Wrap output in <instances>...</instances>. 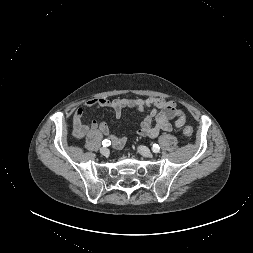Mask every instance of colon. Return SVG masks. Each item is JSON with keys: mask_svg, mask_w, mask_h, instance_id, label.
<instances>
[{"mask_svg": "<svg viewBox=\"0 0 253 253\" xmlns=\"http://www.w3.org/2000/svg\"><path fill=\"white\" fill-rule=\"evenodd\" d=\"M183 134L186 136V137H192L193 136V128L189 125L185 126L184 129H183Z\"/></svg>", "mask_w": 253, "mask_h": 253, "instance_id": "colon-1", "label": "colon"}]
</instances>
